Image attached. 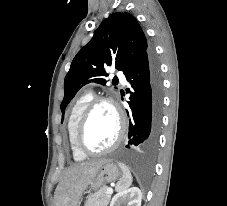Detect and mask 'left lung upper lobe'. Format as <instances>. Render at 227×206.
Returning <instances> with one entry per match:
<instances>
[{
  "instance_id": "5c2ea615",
  "label": "left lung upper lobe",
  "mask_w": 227,
  "mask_h": 206,
  "mask_svg": "<svg viewBox=\"0 0 227 206\" xmlns=\"http://www.w3.org/2000/svg\"><path fill=\"white\" fill-rule=\"evenodd\" d=\"M145 35L137 20L129 13H113L96 30L93 38L74 57L64 81V111L78 92L89 82L104 85L105 68L114 65L127 74L149 51Z\"/></svg>"
}]
</instances>
